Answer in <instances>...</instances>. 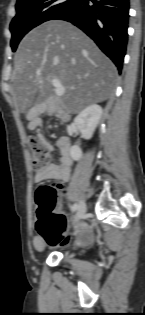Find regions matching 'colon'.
<instances>
[{"instance_id":"5ec220e1","label":"colon","mask_w":145,"mask_h":315,"mask_svg":"<svg viewBox=\"0 0 145 315\" xmlns=\"http://www.w3.org/2000/svg\"><path fill=\"white\" fill-rule=\"evenodd\" d=\"M28 144L32 154V165L36 171L44 169L50 160L49 149L45 140L38 136H30ZM58 185H43L35 192L37 222L36 230L49 245L66 244L63 231L67 225L66 216L59 211Z\"/></svg>"}]
</instances>
